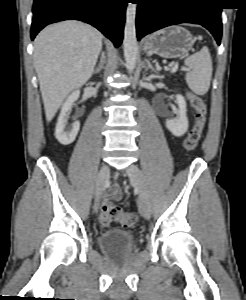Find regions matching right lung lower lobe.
I'll return each mask as SVG.
<instances>
[{"label":"right lung lower lobe","instance_id":"1","mask_svg":"<svg viewBox=\"0 0 246 300\" xmlns=\"http://www.w3.org/2000/svg\"><path fill=\"white\" fill-rule=\"evenodd\" d=\"M127 0H34L31 39L48 24L81 20L100 30L119 47Z\"/></svg>","mask_w":246,"mask_h":300}]
</instances>
